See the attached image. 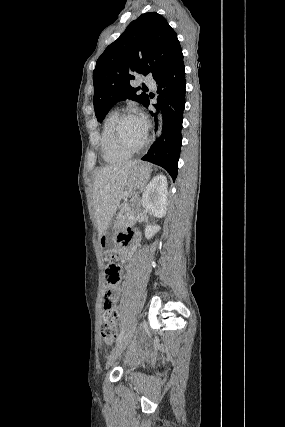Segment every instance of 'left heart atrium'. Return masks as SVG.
<instances>
[{
    "label": "left heart atrium",
    "mask_w": 285,
    "mask_h": 427,
    "mask_svg": "<svg viewBox=\"0 0 285 427\" xmlns=\"http://www.w3.org/2000/svg\"><path fill=\"white\" fill-rule=\"evenodd\" d=\"M139 119H140L141 123L143 124L144 128L147 129V122H146L145 118L141 117Z\"/></svg>",
    "instance_id": "39dd6f15"
}]
</instances>
